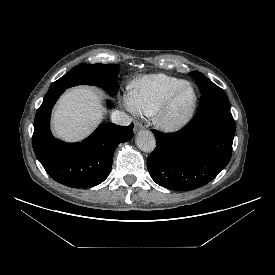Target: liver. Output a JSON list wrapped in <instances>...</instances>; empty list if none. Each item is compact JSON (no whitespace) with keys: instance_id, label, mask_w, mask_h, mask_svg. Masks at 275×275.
Instances as JSON below:
<instances>
[{"instance_id":"1","label":"liver","mask_w":275,"mask_h":275,"mask_svg":"<svg viewBox=\"0 0 275 275\" xmlns=\"http://www.w3.org/2000/svg\"><path fill=\"white\" fill-rule=\"evenodd\" d=\"M103 117L99 93L80 86L68 90L53 112L54 134L65 141H77L90 134Z\"/></svg>"}]
</instances>
